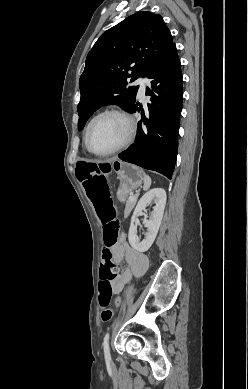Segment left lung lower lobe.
<instances>
[{"label": "left lung lower lobe", "instance_id": "0a47b994", "mask_svg": "<svg viewBox=\"0 0 248 389\" xmlns=\"http://www.w3.org/2000/svg\"><path fill=\"white\" fill-rule=\"evenodd\" d=\"M146 77L151 79V89L146 88V95L151 96L150 103L145 110L138 103L127 110L130 113L140 111L142 119L134 144L118 157L171 179L177 159L183 95L181 65L175 44Z\"/></svg>", "mask_w": 248, "mask_h": 389}]
</instances>
